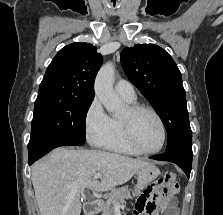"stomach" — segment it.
Instances as JSON below:
<instances>
[{
    "instance_id": "0dacf381",
    "label": "stomach",
    "mask_w": 223,
    "mask_h": 215,
    "mask_svg": "<svg viewBox=\"0 0 223 215\" xmlns=\"http://www.w3.org/2000/svg\"><path fill=\"white\" fill-rule=\"evenodd\" d=\"M137 173V183H141L143 186L139 189H143V187H146L148 183H151L153 179H156L160 173V169L154 165V163H148V165H143V167H140Z\"/></svg>"
}]
</instances>
